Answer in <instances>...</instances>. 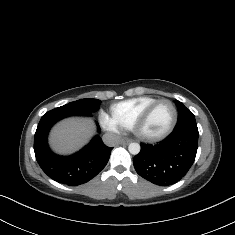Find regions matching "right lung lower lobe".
Instances as JSON below:
<instances>
[{"mask_svg": "<svg viewBox=\"0 0 235 235\" xmlns=\"http://www.w3.org/2000/svg\"><path fill=\"white\" fill-rule=\"evenodd\" d=\"M65 117L68 116H63L54 109L42 116L35 133L34 151L36 160L46 175L69 186H77L91 180L105 167L113 148L106 146L99 136H95L87 146L71 156L54 154L48 147L47 135L50 128Z\"/></svg>", "mask_w": 235, "mask_h": 235, "instance_id": "98d812e1", "label": "right lung lower lobe"}]
</instances>
